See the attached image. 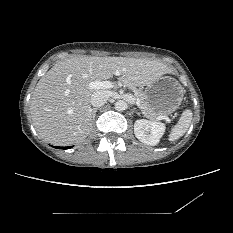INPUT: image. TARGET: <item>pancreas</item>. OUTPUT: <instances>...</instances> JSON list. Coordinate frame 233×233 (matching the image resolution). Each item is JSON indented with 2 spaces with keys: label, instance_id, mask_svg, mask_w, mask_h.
I'll use <instances>...</instances> for the list:
<instances>
[{
  "label": "pancreas",
  "instance_id": "1",
  "mask_svg": "<svg viewBox=\"0 0 233 233\" xmlns=\"http://www.w3.org/2000/svg\"><path fill=\"white\" fill-rule=\"evenodd\" d=\"M134 96L136 100L140 101L139 108L142 111L143 115L151 120H156L158 114H156L146 103L144 99V93L140 89L133 88Z\"/></svg>",
  "mask_w": 233,
  "mask_h": 233
}]
</instances>
